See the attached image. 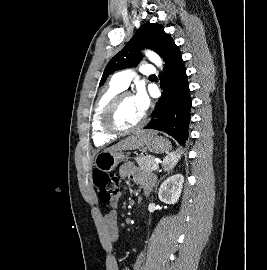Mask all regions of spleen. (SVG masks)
I'll return each instance as SVG.
<instances>
[{
  "mask_svg": "<svg viewBox=\"0 0 267 270\" xmlns=\"http://www.w3.org/2000/svg\"><path fill=\"white\" fill-rule=\"evenodd\" d=\"M180 159V154L177 152L170 153L163 161L166 170L172 169Z\"/></svg>",
  "mask_w": 267,
  "mask_h": 270,
  "instance_id": "1",
  "label": "spleen"
}]
</instances>
